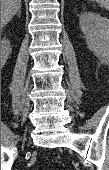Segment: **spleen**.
Listing matches in <instances>:
<instances>
[{
  "instance_id": "spleen-1",
  "label": "spleen",
  "mask_w": 109,
  "mask_h": 170,
  "mask_svg": "<svg viewBox=\"0 0 109 170\" xmlns=\"http://www.w3.org/2000/svg\"><path fill=\"white\" fill-rule=\"evenodd\" d=\"M89 1H96L97 3L103 5L104 7H109V0H89Z\"/></svg>"
}]
</instances>
